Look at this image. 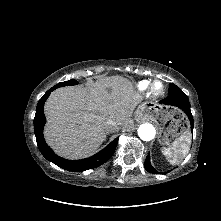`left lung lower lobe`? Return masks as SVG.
I'll return each instance as SVG.
<instances>
[{
	"label": "left lung lower lobe",
	"mask_w": 221,
	"mask_h": 221,
	"mask_svg": "<svg viewBox=\"0 0 221 221\" xmlns=\"http://www.w3.org/2000/svg\"><path fill=\"white\" fill-rule=\"evenodd\" d=\"M160 103L164 105H168V106L177 107L181 109L183 112H185L186 115L188 116V119L191 125V130L193 132V126H194L193 116L190 110L189 99L185 93L181 92V93L171 94L165 99L161 100ZM144 165H145V169L148 172L153 173V174L157 173V171L150 164V155L147 156Z\"/></svg>",
	"instance_id": "1"
}]
</instances>
